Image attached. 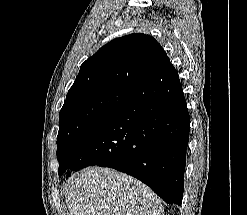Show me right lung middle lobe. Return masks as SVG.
<instances>
[{
	"label": "right lung middle lobe",
	"mask_w": 247,
	"mask_h": 215,
	"mask_svg": "<svg viewBox=\"0 0 247 215\" xmlns=\"http://www.w3.org/2000/svg\"><path fill=\"white\" fill-rule=\"evenodd\" d=\"M131 91L122 88H92L67 94L60 111L57 136L59 175L68 170L69 158L78 140L119 108Z\"/></svg>",
	"instance_id": "obj_1"
}]
</instances>
